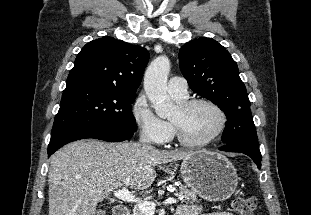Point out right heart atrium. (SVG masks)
Wrapping results in <instances>:
<instances>
[{
	"instance_id": "1",
	"label": "right heart atrium",
	"mask_w": 311,
	"mask_h": 215,
	"mask_svg": "<svg viewBox=\"0 0 311 215\" xmlns=\"http://www.w3.org/2000/svg\"><path fill=\"white\" fill-rule=\"evenodd\" d=\"M133 120L143 137L155 144H165L173 136L171 124L159 118L144 94H139L131 106Z\"/></svg>"
}]
</instances>
